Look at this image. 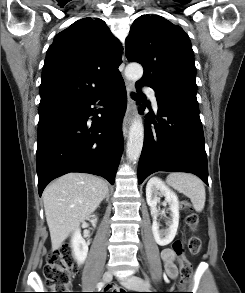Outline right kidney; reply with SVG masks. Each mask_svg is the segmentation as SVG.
<instances>
[{"mask_svg":"<svg viewBox=\"0 0 245 293\" xmlns=\"http://www.w3.org/2000/svg\"><path fill=\"white\" fill-rule=\"evenodd\" d=\"M92 222L95 223L96 219H94ZM71 247L77 263L83 264L88 254V244L81 236L80 228H77L71 237Z\"/></svg>","mask_w":245,"mask_h":293,"instance_id":"ca27d5eb","label":"right kidney"}]
</instances>
